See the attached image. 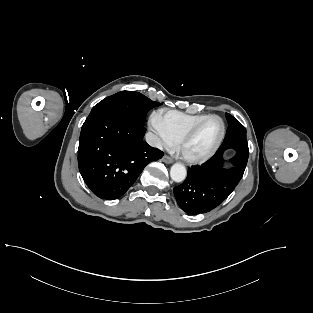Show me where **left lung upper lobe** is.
Returning a JSON list of instances; mask_svg holds the SVG:
<instances>
[{"label":"left lung upper lobe","instance_id":"5c2ea615","mask_svg":"<svg viewBox=\"0 0 313 313\" xmlns=\"http://www.w3.org/2000/svg\"><path fill=\"white\" fill-rule=\"evenodd\" d=\"M226 118L229 123V127L227 129L224 141L233 138H246L245 127L236 118L228 113H226Z\"/></svg>","mask_w":313,"mask_h":313}]
</instances>
